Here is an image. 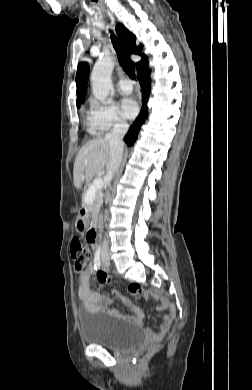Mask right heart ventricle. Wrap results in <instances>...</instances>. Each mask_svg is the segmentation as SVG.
Segmentation results:
<instances>
[{"label":"right heart ventricle","mask_w":252,"mask_h":390,"mask_svg":"<svg viewBox=\"0 0 252 390\" xmlns=\"http://www.w3.org/2000/svg\"><path fill=\"white\" fill-rule=\"evenodd\" d=\"M89 131H91V132H92L91 128H89Z\"/></svg>","instance_id":"e07e8e85"}]
</instances>
